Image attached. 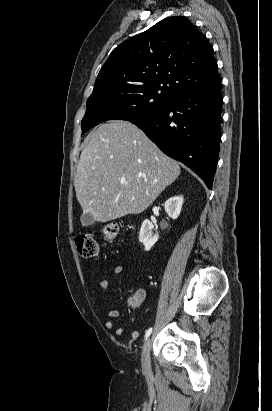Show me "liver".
<instances>
[{
	"mask_svg": "<svg viewBox=\"0 0 272 411\" xmlns=\"http://www.w3.org/2000/svg\"><path fill=\"white\" fill-rule=\"evenodd\" d=\"M180 172L137 126L112 121L99 126L81 152L76 197L83 214L104 223L146 210Z\"/></svg>",
	"mask_w": 272,
	"mask_h": 411,
	"instance_id": "obj_1",
	"label": "liver"
}]
</instances>
